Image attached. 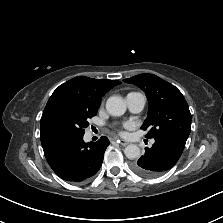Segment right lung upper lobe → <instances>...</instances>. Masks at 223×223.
<instances>
[{
  "mask_svg": "<svg viewBox=\"0 0 223 223\" xmlns=\"http://www.w3.org/2000/svg\"><path fill=\"white\" fill-rule=\"evenodd\" d=\"M120 83L117 80H99L78 76L60 85L53 92L44 109L40 124L41 142L52 137L47 129V117L57 104L65 101H75L92 107H99L101 98L105 93Z\"/></svg>",
  "mask_w": 223,
  "mask_h": 223,
  "instance_id": "cb5924a9",
  "label": "right lung upper lobe"
}]
</instances>
